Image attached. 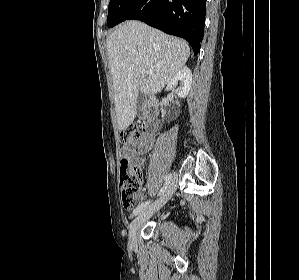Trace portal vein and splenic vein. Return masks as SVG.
Here are the masks:
<instances>
[{
    "label": "portal vein and splenic vein",
    "instance_id": "portal-vein-and-splenic-vein-1",
    "mask_svg": "<svg viewBox=\"0 0 299 280\" xmlns=\"http://www.w3.org/2000/svg\"><path fill=\"white\" fill-rule=\"evenodd\" d=\"M140 73H141V75H145V74L151 75L152 71L151 70L146 71L145 69H141Z\"/></svg>",
    "mask_w": 299,
    "mask_h": 280
}]
</instances>
